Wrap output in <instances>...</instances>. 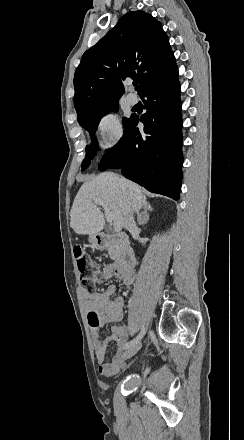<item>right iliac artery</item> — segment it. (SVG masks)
Returning <instances> with one entry per match:
<instances>
[{
    "label": "right iliac artery",
    "instance_id": "1",
    "mask_svg": "<svg viewBox=\"0 0 244 440\" xmlns=\"http://www.w3.org/2000/svg\"><path fill=\"white\" fill-rule=\"evenodd\" d=\"M145 334V328H142L141 332L139 333V335H137L134 339H132L130 342L126 343L123 347V349H128L129 347H131L132 345L138 343L144 336Z\"/></svg>",
    "mask_w": 244,
    "mask_h": 440
}]
</instances>
